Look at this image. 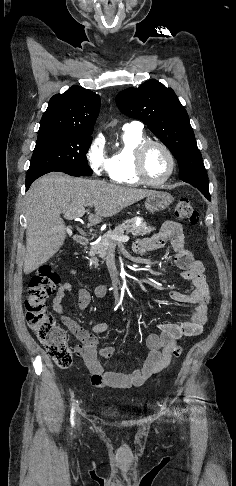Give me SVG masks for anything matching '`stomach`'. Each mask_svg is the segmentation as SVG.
Masks as SVG:
<instances>
[{
	"instance_id": "obj_1",
	"label": "stomach",
	"mask_w": 236,
	"mask_h": 486,
	"mask_svg": "<svg viewBox=\"0 0 236 486\" xmlns=\"http://www.w3.org/2000/svg\"><path fill=\"white\" fill-rule=\"evenodd\" d=\"M173 201L172 195L164 191H154L148 195L145 200L146 209L151 212H160L165 210Z\"/></svg>"
}]
</instances>
